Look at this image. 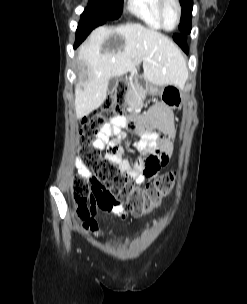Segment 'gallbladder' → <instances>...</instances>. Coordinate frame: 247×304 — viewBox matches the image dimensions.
Segmentation results:
<instances>
[{"mask_svg":"<svg viewBox=\"0 0 247 304\" xmlns=\"http://www.w3.org/2000/svg\"><path fill=\"white\" fill-rule=\"evenodd\" d=\"M118 84V78L117 77H111L108 82V93H113L116 89V86Z\"/></svg>","mask_w":247,"mask_h":304,"instance_id":"obj_1","label":"gallbladder"}]
</instances>
